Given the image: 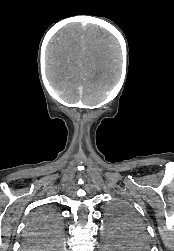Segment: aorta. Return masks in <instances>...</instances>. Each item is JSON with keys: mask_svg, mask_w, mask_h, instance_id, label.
<instances>
[{"mask_svg": "<svg viewBox=\"0 0 174 251\" xmlns=\"http://www.w3.org/2000/svg\"><path fill=\"white\" fill-rule=\"evenodd\" d=\"M100 236H101V245L103 246V250L105 251H116L121 250L123 248V244L120 239H116L113 235V232L110 230L109 225L103 224L102 228L100 229Z\"/></svg>", "mask_w": 174, "mask_h": 251, "instance_id": "aorta-1", "label": "aorta"}]
</instances>
